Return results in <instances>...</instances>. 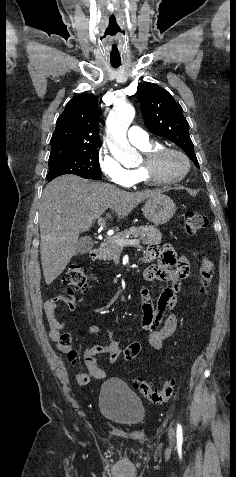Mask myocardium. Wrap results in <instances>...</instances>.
<instances>
[{
    "label": "myocardium",
    "instance_id": "f54148a6",
    "mask_svg": "<svg viewBox=\"0 0 236 477\" xmlns=\"http://www.w3.org/2000/svg\"><path fill=\"white\" fill-rule=\"evenodd\" d=\"M169 155L179 156L185 163V169L178 176L165 178L160 175L159 170L163 159ZM190 167V159L183 151L171 147H157L144 156L140 169L148 183L165 185L183 180L189 173Z\"/></svg>",
    "mask_w": 236,
    "mask_h": 477
}]
</instances>
